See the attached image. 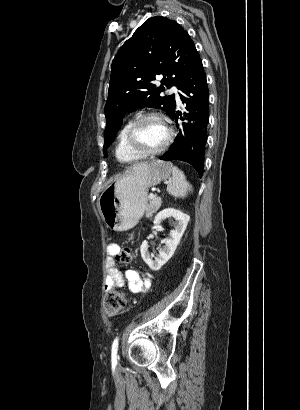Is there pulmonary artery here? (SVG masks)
Returning a JSON list of instances; mask_svg holds the SVG:
<instances>
[{"mask_svg": "<svg viewBox=\"0 0 300 410\" xmlns=\"http://www.w3.org/2000/svg\"><path fill=\"white\" fill-rule=\"evenodd\" d=\"M171 92L175 94L177 102L180 103L179 90L176 87H172Z\"/></svg>", "mask_w": 300, "mask_h": 410, "instance_id": "obj_1", "label": "pulmonary artery"}]
</instances>
